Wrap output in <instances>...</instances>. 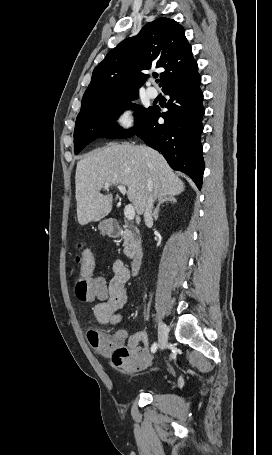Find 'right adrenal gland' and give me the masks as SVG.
Returning a JSON list of instances; mask_svg holds the SVG:
<instances>
[{
	"label": "right adrenal gland",
	"mask_w": 272,
	"mask_h": 455,
	"mask_svg": "<svg viewBox=\"0 0 272 455\" xmlns=\"http://www.w3.org/2000/svg\"><path fill=\"white\" fill-rule=\"evenodd\" d=\"M167 202H170V203H176L177 200L174 196L172 195H164V196H161L159 197L158 199V204L153 212V218L154 220H157L158 219V214H159V208L160 206L163 204V203H167Z\"/></svg>",
	"instance_id": "right-adrenal-gland-1"
}]
</instances>
